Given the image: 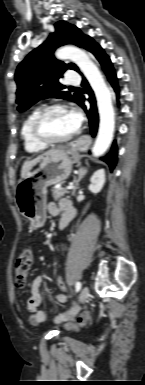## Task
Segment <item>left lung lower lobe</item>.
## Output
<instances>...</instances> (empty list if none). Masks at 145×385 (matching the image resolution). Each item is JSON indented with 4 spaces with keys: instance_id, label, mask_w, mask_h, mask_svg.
I'll return each mask as SVG.
<instances>
[{
    "instance_id": "1",
    "label": "left lung lower lobe",
    "mask_w": 145,
    "mask_h": 385,
    "mask_svg": "<svg viewBox=\"0 0 145 385\" xmlns=\"http://www.w3.org/2000/svg\"><path fill=\"white\" fill-rule=\"evenodd\" d=\"M87 50L90 51L96 59L99 61L101 64L109 82L113 86L116 92H118V87H117V82H116V75L114 72V69L112 67V63L109 59V57L104 53L103 49L92 39L87 47ZM82 86L85 87V92L89 94L90 98V109L87 110L86 107L84 106V97H82L79 105L85 110L87 113V117L89 119V124H90V130L92 136L96 135L97 129H98V113H97V107H96V101L94 98L93 91L91 90L88 82L86 79H83ZM104 162H106L110 169L113 170L116 162H117V145L116 142L114 141L111 151L105 156L101 158Z\"/></svg>"
}]
</instances>
